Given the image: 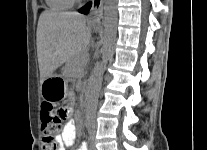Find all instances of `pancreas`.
I'll return each instance as SVG.
<instances>
[{
	"label": "pancreas",
	"mask_w": 207,
	"mask_h": 150,
	"mask_svg": "<svg viewBox=\"0 0 207 150\" xmlns=\"http://www.w3.org/2000/svg\"><path fill=\"white\" fill-rule=\"evenodd\" d=\"M87 62H88V57L86 54H82L81 56H78L77 58L74 59L70 69L64 72V76L68 74H72L74 76L79 75L81 70L87 64Z\"/></svg>",
	"instance_id": "obj_1"
}]
</instances>
